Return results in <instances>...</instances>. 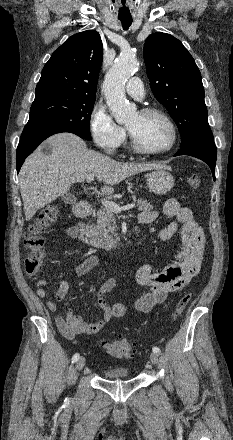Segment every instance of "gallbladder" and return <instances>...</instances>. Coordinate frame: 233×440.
Listing matches in <instances>:
<instances>
[{"mask_svg": "<svg viewBox=\"0 0 233 440\" xmlns=\"http://www.w3.org/2000/svg\"><path fill=\"white\" fill-rule=\"evenodd\" d=\"M61 200L67 204H74L77 201L76 197L71 193H66L62 195Z\"/></svg>", "mask_w": 233, "mask_h": 440, "instance_id": "obj_1", "label": "gallbladder"}]
</instances>
